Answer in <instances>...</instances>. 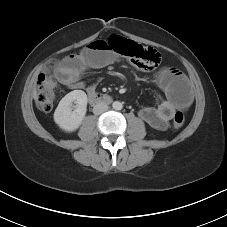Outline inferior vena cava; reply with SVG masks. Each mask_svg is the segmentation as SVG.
Returning a JSON list of instances; mask_svg holds the SVG:
<instances>
[{"mask_svg": "<svg viewBox=\"0 0 227 227\" xmlns=\"http://www.w3.org/2000/svg\"><path fill=\"white\" fill-rule=\"evenodd\" d=\"M108 110V105L105 103H98L93 108V113L96 115L102 114Z\"/></svg>", "mask_w": 227, "mask_h": 227, "instance_id": "obj_1", "label": "inferior vena cava"}]
</instances>
